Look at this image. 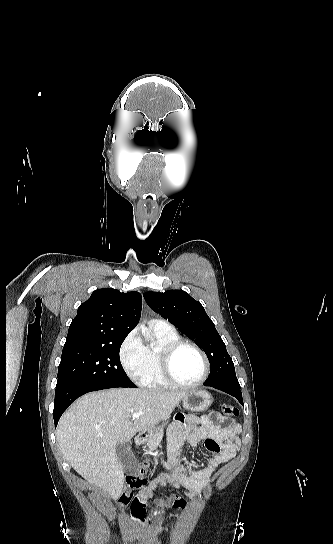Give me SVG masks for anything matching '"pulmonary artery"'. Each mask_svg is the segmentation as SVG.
<instances>
[{"label": "pulmonary artery", "instance_id": "obj_1", "mask_svg": "<svg viewBox=\"0 0 333 544\" xmlns=\"http://www.w3.org/2000/svg\"><path fill=\"white\" fill-rule=\"evenodd\" d=\"M150 324L159 329H164V330L173 329L172 326L168 322L163 320H151Z\"/></svg>", "mask_w": 333, "mask_h": 544}]
</instances>
